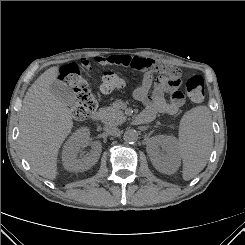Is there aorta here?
I'll use <instances>...</instances> for the list:
<instances>
[{"mask_svg":"<svg viewBox=\"0 0 245 245\" xmlns=\"http://www.w3.org/2000/svg\"><path fill=\"white\" fill-rule=\"evenodd\" d=\"M123 139L126 143H135L138 140V132L134 129H128L125 131Z\"/></svg>","mask_w":245,"mask_h":245,"instance_id":"obj_1","label":"aorta"}]
</instances>
